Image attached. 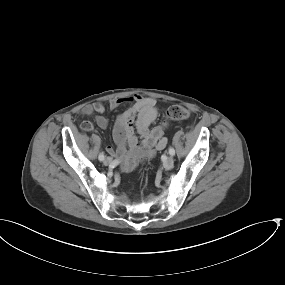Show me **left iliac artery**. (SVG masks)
Here are the masks:
<instances>
[{"mask_svg":"<svg viewBox=\"0 0 285 285\" xmlns=\"http://www.w3.org/2000/svg\"><path fill=\"white\" fill-rule=\"evenodd\" d=\"M169 154H170L171 156L175 155V150H174V148L169 147Z\"/></svg>","mask_w":285,"mask_h":285,"instance_id":"1","label":"left iliac artery"}]
</instances>
